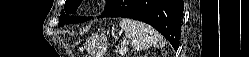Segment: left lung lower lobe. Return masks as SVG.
I'll return each instance as SVG.
<instances>
[{"label":"left lung lower lobe","mask_w":249,"mask_h":57,"mask_svg":"<svg viewBox=\"0 0 249 57\" xmlns=\"http://www.w3.org/2000/svg\"><path fill=\"white\" fill-rule=\"evenodd\" d=\"M183 9V0H114L99 17H125L146 22L176 50Z\"/></svg>","instance_id":"1"}]
</instances>
